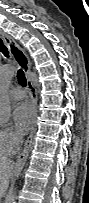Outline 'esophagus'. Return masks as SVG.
<instances>
[{
  "label": "esophagus",
  "instance_id": "34e87169",
  "mask_svg": "<svg viewBox=\"0 0 89 203\" xmlns=\"http://www.w3.org/2000/svg\"><path fill=\"white\" fill-rule=\"evenodd\" d=\"M0 38L7 45L13 58L15 59L17 64L22 68V70L24 71V73L27 76V83H28V87L30 89V94H31V102H32V106L34 109V122H33L32 128H31L29 137L26 141L23 152L18 156L17 161H16V169L18 171H20L23 168V166L27 160V157L29 155L30 149H31L32 138H33V135L35 132V127H36L38 97H37V92H36L35 86L29 77V72L31 70V62H30L28 55L25 53V51L22 48L19 47V45L16 43V41L11 36L7 35L3 31L0 32Z\"/></svg>",
  "mask_w": 89,
  "mask_h": 203
}]
</instances>
